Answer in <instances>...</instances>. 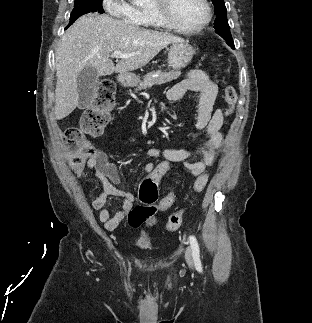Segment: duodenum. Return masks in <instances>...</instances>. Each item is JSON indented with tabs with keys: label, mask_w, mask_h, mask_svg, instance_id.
<instances>
[{
	"label": "duodenum",
	"mask_w": 312,
	"mask_h": 323,
	"mask_svg": "<svg viewBox=\"0 0 312 323\" xmlns=\"http://www.w3.org/2000/svg\"><path fill=\"white\" fill-rule=\"evenodd\" d=\"M119 81H120V83H121L122 85H124V86H128V85H130V84H131V82L133 81V78H132V76H131V75H129V74H122V75H120V77H119Z\"/></svg>",
	"instance_id": "410a0bca"
}]
</instances>
